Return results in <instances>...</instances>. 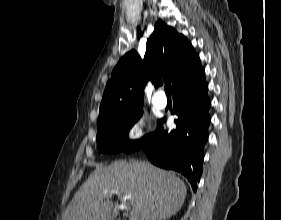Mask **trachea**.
Returning <instances> with one entry per match:
<instances>
[{
  "instance_id": "obj_1",
  "label": "trachea",
  "mask_w": 281,
  "mask_h": 220,
  "mask_svg": "<svg viewBox=\"0 0 281 220\" xmlns=\"http://www.w3.org/2000/svg\"><path fill=\"white\" fill-rule=\"evenodd\" d=\"M165 93H166V95L169 97H171V85L168 83V84H166L165 85Z\"/></svg>"
}]
</instances>
